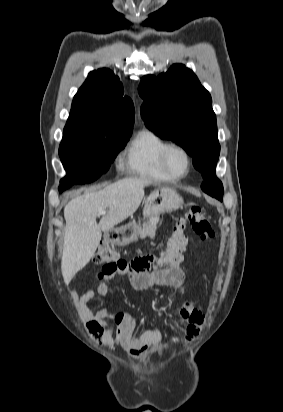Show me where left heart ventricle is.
I'll list each match as a JSON object with an SVG mask.
<instances>
[{"label":"left heart ventricle","mask_w":283,"mask_h":412,"mask_svg":"<svg viewBox=\"0 0 283 412\" xmlns=\"http://www.w3.org/2000/svg\"><path fill=\"white\" fill-rule=\"evenodd\" d=\"M168 164L170 169L175 173H183L187 168V160L185 155L177 150H174L170 153Z\"/></svg>","instance_id":"b2bd125f"}]
</instances>
